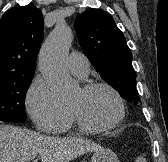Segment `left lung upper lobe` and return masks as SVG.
I'll return each mask as SVG.
<instances>
[{
  "mask_svg": "<svg viewBox=\"0 0 168 162\" xmlns=\"http://www.w3.org/2000/svg\"><path fill=\"white\" fill-rule=\"evenodd\" d=\"M80 46L100 76L119 94L138 104L132 53L123 33L106 12L90 9L78 14L74 24Z\"/></svg>",
  "mask_w": 168,
  "mask_h": 162,
  "instance_id": "1",
  "label": "left lung upper lobe"
}]
</instances>
